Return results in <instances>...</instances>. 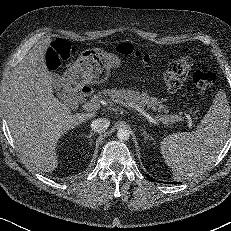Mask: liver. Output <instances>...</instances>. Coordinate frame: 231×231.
<instances>
[{
	"instance_id": "6515ba94",
	"label": "liver",
	"mask_w": 231,
	"mask_h": 231,
	"mask_svg": "<svg viewBox=\"0 0 231 231\" xmlns=\"http://www.w3.org/2000/svg\"><path fill=\"white\" fill-rule=\"evenodd\" d=\"M50 41L40 40L14 68L6 93V117L13 139L23 156L43 172L58 165L56 145L60 137L97 114H71L53 95L45 62Z\"/></svg>"
}]
</instances>
